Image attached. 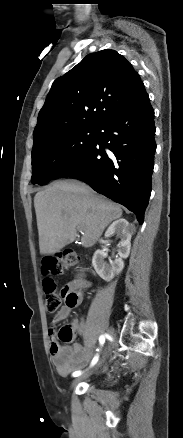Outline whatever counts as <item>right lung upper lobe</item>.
Segmentation results:
<instances>
[{"label": "right lung upper lobe", "mask_w": 183, "mask_h": 438, "mask_svg": "<svg viewBox=\"0 0 183 438\" xmlns=\"http://www.w3.org/2000/svg\"><path fill=\"white\" fill-rule=\"evenodd\" d=\"M146 94L138 73L122 55L114 50L89 54L52 84L33 140L61 130L98 127Z\"/></svg>", "instance_id": "right-lung-upper-lobe-1"}]
</instances>
